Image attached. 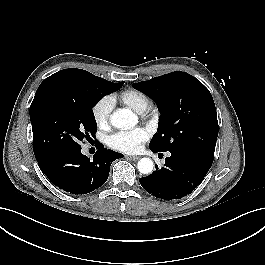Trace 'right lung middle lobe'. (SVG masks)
<instances>
[{"instance_id": "1", "label": "right lung middle lobe", "mask_w": 265, "mask_h": 265, "mask_svg": "<svg viewBox=\"0 0 265 265\" xmlns=\"http://www.w3.org/2000/svg\"><path fill=\"white\" fill-rule=\"evenodd\" d=\"M81 85L41 83L30 106L35 156L49 151L81 147L97 131L92 108L124 82L113 83L81 70Z\"/></svg>"}]
</instances>
